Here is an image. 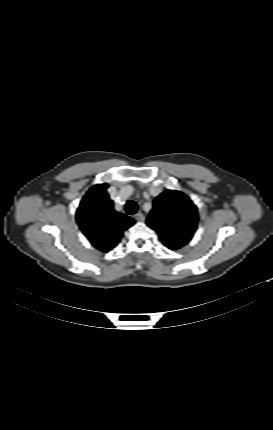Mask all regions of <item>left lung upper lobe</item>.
Masks as SVG:
<instances>
[{
    "label": "left lung upper lobe",
    "instance_id": "5c2ea615",
    "mask_svg": "<svg viewBox=\"0 0 273 430\" xmlns=\"http://www.w3.org/2000/svg\"><path fill=\"white\" fill-rule=\"evenodd\" d=\"M197 222L196 206L186 195L175 190H166L155 199L146 221L170 249H179L187 244L197 228Z\"/></svg>",
    "mask_w": 273,
    "mask_h": 430
}]
</instances>
